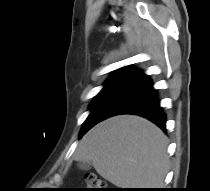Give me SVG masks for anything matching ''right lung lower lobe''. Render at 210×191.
Segmentation results:
<instances>
[{
	"mask_svg": "<svg viewBox=\"0 0 210 191\" xmlns=\"http://www.w3.org/2000/svg\"><path fill=\"white\" fill-rule=\"evenodd\" d=\"M119 114H135L147 118L162 130L166 115L160 107L157 91L152 80L142 71L128 66L119 78L108 98L96 114L95 125Z\"/></svg>",
	"mask_w": 210,
	"mask_h": 191,
	"instance_id": "1",
	"label": "right lung lower lobe"
}]
</instances>
